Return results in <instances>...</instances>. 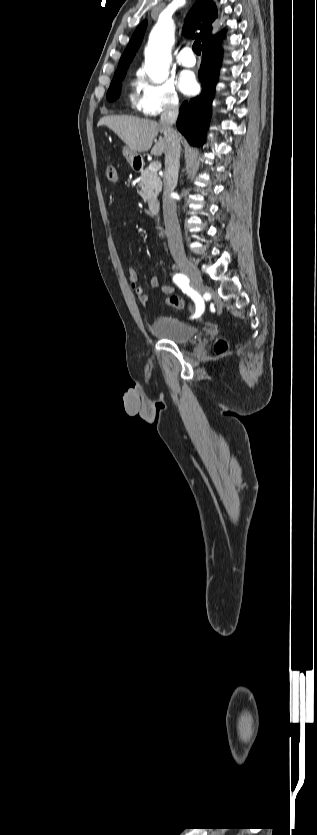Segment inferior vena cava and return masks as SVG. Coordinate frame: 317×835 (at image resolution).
<instances>
[{
	"label": "inferior vena cava",
	"mask_w": 317,
	"mask_h": 835,
	"mask_svg": "<svg viewBox=\"0 0 317 835\" xmlns=\"http://www.w3.org/2000/svg\"><path fill=\"white\" fill-rule=\"evenodd\" d=\"M179 113L178 103L171 102L164 109L160 117V125L164 132L166 141L165 148V176L163 188V216L168 245L173 258L184 256V247L181 230L176 213V202L171 193L175 189L178 180L179 159L181 145L177 132L172 128Z\"/></svg>",
	"instance_id": "obj_1"
}]
</instances>
